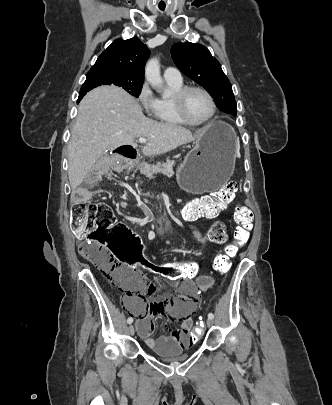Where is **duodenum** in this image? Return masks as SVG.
<instances>
[{
  "label": "duodenum",
  "instance_id": "1",
  "mask_svg": "<svg viewBox=\"0 0 332 405\" xmlns=\"http://www.w3.org/2000/svg\"><path fill=\"white\" fill-rule=\"evenodd\" d=\"M122 156H124L128 161L130 162H134L136 160V154L133 151L130 150H125L122 153ZM207 217H213V215L211 213L206 214ZM182 220L185 222H189L193 220V215L189 212H186L182 215ZM163 228L165 229H169L172 227V224L168 221H164L162 223Z\"/></svg>",
  "mask_w": 332,
  "mask_h": 405
}]
</instances>
